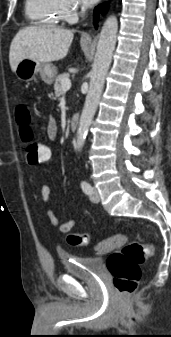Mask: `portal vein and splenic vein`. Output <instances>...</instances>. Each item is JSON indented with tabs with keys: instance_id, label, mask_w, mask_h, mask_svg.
<instances>
[{
	"instance_id": "18ae733b",
	"label": "portal vein and splenic vein",
	"mask_w": 171,
	"mask_h": 337,
	"mask_svg": "<svg viewBox=\"0 0 171 337\" xmlns=\"http://www.w3.org/2000/svg\"><path fill=\"white\" fill-rule=\"evenodd\" d=\"M62 88H63V91H67L71 88V81L69 78H64L62 80Z\"/></svg>"
}]
</instances>
